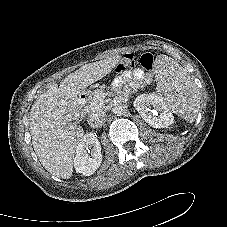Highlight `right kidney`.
<instances>
[{"label":"right kidney","instance_id":"obj_1","mask_svg":"<svg viewBox=\"0 0 227 227\" xmlns=\"http://www.w3.org/2000/svg\"><path fill=\"white\" fill-rule=\"evenodd\" d=\"M101 145L94 133H86L76 148L74 167L77 173L92 175L101 165Z\"/></svg>","mask_w":227,"mask_h":227}]
</instances>
